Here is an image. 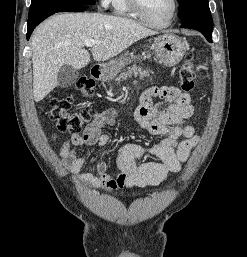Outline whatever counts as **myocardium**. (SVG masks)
Here are the masks:
<instances>
[{
    "instance_id": "obj_1",
    "label": "myocardium",
    "mask_w": 247,
    "mask_h": 257,
    "mask_svg": "<svg viewBox=\"0 0 247 257\" xmlns=\"http://www.w3.org/2000/svg\"><path fill=\"white\" fill-rule=\"evenodd\" d=\"M128 4L131 8V10L134 12V14L142 21L144 22L146 25L153 27V28H166L169 25H171V23L173 22V20L175 19L177 12H178V8H179V2L178 0H173V10L172 13L169 17V19L164 22V23H156L151 21L143 12L142 6H141V2L140 0H127Z\"/></svg>"
}]
</instances>
